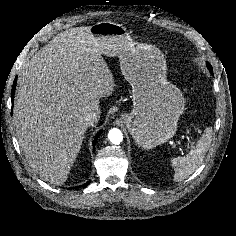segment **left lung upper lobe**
<instances>
[{
	"label": "left lung upper lobe",
	"mask_w": 236,
	"mask_h": 236,
	"mask_svg": "<svg viewBox=\"0 0 236 236\" xmlns=\"http://www.w3.org/2000/svg\"><path fill=\"white\" fill-rule=\"evenodd\" d=\"M208 68H209L210 72H212V68L209 64H208Z\"/></svg>",
	"instance_id": "left-lung-upper-lobe-1"
}]
</instances>
